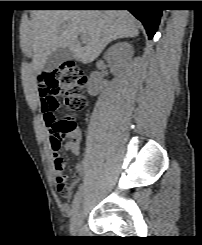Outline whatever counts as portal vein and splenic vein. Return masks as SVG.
Returning a JSON list of instances; mask_svg holds the SVG:
<instances>
[{"label": "portal vein and splenic vein", "mask_w": 202, "mask_h": 245, "mask_svg": "<svg viewBox=\"0 0 202 245\" xmlns=\"http://www.w3.org/2000/svg\"><path fill=\"white\" fill-rule=\"evenodd\" d=\"M80 37H81L82 42L85 43L86 42V35L85 34H81Z\"/></svg>", "instance_id": "portal-vein-and-splenic-vein-1"}]
</instances>
